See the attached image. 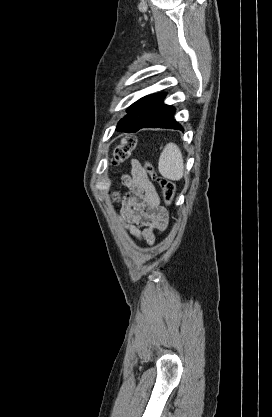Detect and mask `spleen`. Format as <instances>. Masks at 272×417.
I'll return each instance as SVG.
<instances>
[{
	"label": "spleen",
	"instance_id": "3e777b00",
	"mask_svg": "<svg viewBox=\"0 0 272 417\" xmlns=\"http://www.w3.org/2000/svg\"><path fill=\"white\" fill-rule=\"evenodd\" d=\"M160 174L169 180L178 181L183 177L184 163L181 150L175 143H168L158 163Z\"/></svg>",
	"mask_w": 272,
	"mask_h": 417
}]
</instances>
